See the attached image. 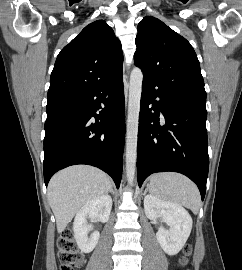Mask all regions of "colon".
<instances>
[{
    "label": "colon",
    "mask_w": 242,
    "mask_h": 270,
    "mask_svg": "<svg viewBox=\"0 0 242 270\" xmlns=\"http://www.w3.org/2000/svg\"><path fill=\"white\" fill-rule=\"evenodd\" d=\"M58 257L60 261V270H74L83 260L82 254L79 252L71 230H66L60 236L57 242ZM192 249L190 246L184 248V257L181 260L182 265L187 262V256L190 255Z\"/></svg>",
    "instance_id": "colon-1"
}]
</instances>
